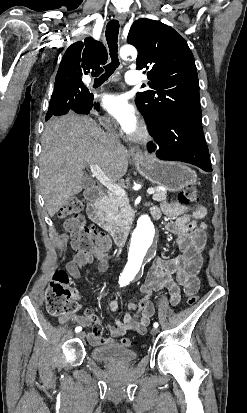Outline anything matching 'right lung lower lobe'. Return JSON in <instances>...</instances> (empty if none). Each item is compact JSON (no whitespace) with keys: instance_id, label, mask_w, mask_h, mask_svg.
<instances>
[{"instance_id":"98d812e1","label":"right lung lower lobe","mask_w":247,"mask_h":413,"mask_svg":"<svg viewBox=\"0 0 247 413\" xmlns=\"http://www.w3.org/2000/svg\"><path fill=\"white\" fill-rule=\"evenodd\" d=\"M99 110V104L93 102V94L88 92L76 96L52 98L46 115V121L52 116H60L70 110L76 113L88 114L92 108Z\"/></svg>"}]
</instances>
